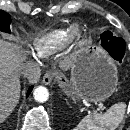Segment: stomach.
Listing matches in <instances>:
<instances>
[{"label":"stomach","instance_id":"stomach-1","mask_svg":"<svg viewBox=\"0 0 130 130\" xmlns=\"http://www.w3.org/2000/svg\"><path fill=\"white\" fill-rule=\"evenodd\" d=\"M118 83L117 68L98 48L80 47L74 55L70 85L62 83L73 100L100 102L109 98Z\"/></svg>","mask_w":130,"mask_h":130}]
</instances>
